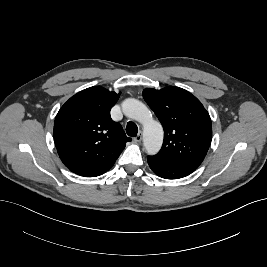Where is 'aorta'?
Here are the masks:
<instances>
[{
    "label": "aorta",
    "mask_w": 267,
    "mask_h": 267,
    "mask_svg": "<svg viewBox=\"0 0 267 267\" xmlns=\"http://www.w3.org/2000/svg\"><path fill=\"white\" fill-rule=\"evenodd\" d=\"M122 111L125 116L142 123L146 152L149 155L158 153L163 142V128L158 121L153 119L145 104L137 99L128 98L122 103Z\"/></svg>",
    "instance_id": "1"
}]
</instances>
